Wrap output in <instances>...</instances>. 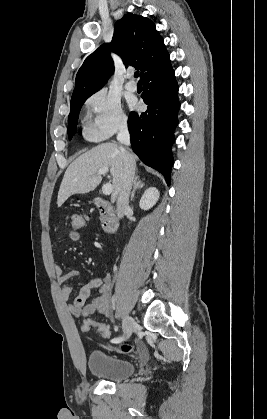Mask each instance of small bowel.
<instances>
[{"label": "small bowel", "instance_id": "c3829d8e", "mask_svg": "<svg viewBox=\"0 0 267 419\" xmlns=\"http://www.w3.org/2000/svg\"><path fill=\"white\" fill-rule=\"evenodd\" d=\"M65 235L72 241H80L83 235L78 231L69 230ZM54 274L60 285L61 295L64 300L69 301L74 288L69 284V280L77 276V270L64 273L59 265L54 266ZM111 276L109 274L90 279L80 287L76 297L68 304L70 313L75 317H88L94 314L108 316L110 314V287ZM93 289L98 290V295L87 302Z\"/></svg>", "mask_w": 267, "mask_h": 419}]
</instances>
